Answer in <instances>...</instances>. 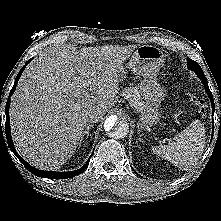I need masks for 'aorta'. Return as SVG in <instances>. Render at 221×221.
<instances>
[{
    "label": "aorta",
    "mask_w": 221,
    "mask_h": 221,
    "mask_svg": "<svg viewBox=\"0 0 221 221\" xmlns=\"http://www.w3.org/2000/svg\"><path fill=\"white\" fill-rule=\"evenodd\" d=\"M104 129L110 137L121 139L128 134L129 124L124 118L112 115L106 119Z\"/></svg>",
    "instance_id": "aorta-1"
}]
</instances>
